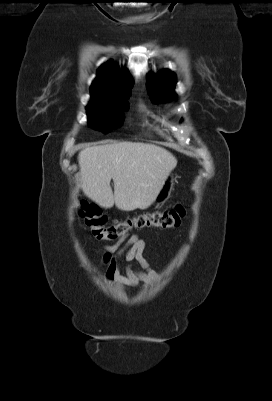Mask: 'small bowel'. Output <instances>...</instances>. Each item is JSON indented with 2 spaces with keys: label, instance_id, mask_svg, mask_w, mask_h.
Masks as SVG:
<instances>
[{
  "label": "small bowel",
  "instance_id": "1",
  "mask_svg": "<svg viewBox=\"0 0 272 401\" xmlns=\"http://www.w3.org/2000/svg\"><path fill=\"white\" fill-rule=\"evenodd\" d=\"M145 242L138 235L123 236L114 245L105 248L100 265L106 268L105 277L108 281L120 287H132L140 282L151 284L158 279V274L153 270L143 256ZM137 261L141 270L127 266L124 272L120 271L119 261Z\"/></svg>",
  "mask_w": 272,
  "mask_h": 401
}]
</instances>
